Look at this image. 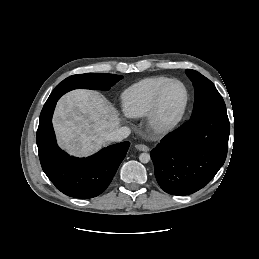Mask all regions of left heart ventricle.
<instances>
[{
  "label": "left heart ventricle",
  "instance_id": "left-heart-ventricle-1",
  "mask_svg": "<svg viewBox=\"0 0 259 259\" xmlns=\"http://www.w3.org/2000/svg\"><path fill=\"white\" fill-rule=\"evenodd\" d=\"M185 98L183 87L178 83L170 84L164 91L161 100V118L172 119L180 110Z\"/></svg>",
  "mask_w": 259,
  "mask_h": 259
}]
</instances>
